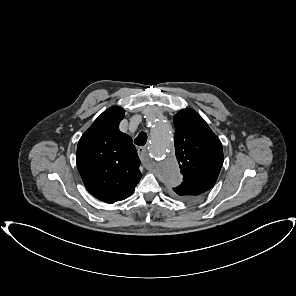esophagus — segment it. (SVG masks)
<instances>
[{
	"instance_id": "34e87169",
	"label": "esophagus",
	"mask_w": 296,
	"mask_h": 296,
	"mask_svg": "<svg viewBox=\"0 0 296 296\" xmlns=\"http://www.w3.org/2000/svg\"><path fill=\"white\" fill-rule=\"evenodd\" d=\"M138 155L141 159H143L147 153V148L145 146L137 148Z\"/></svg>"
}]
</instances>
